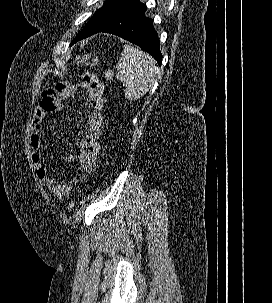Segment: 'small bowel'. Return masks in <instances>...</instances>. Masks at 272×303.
Masks as SVG:
<instances>
[{"label": "small bowel", "mask_w": 272, "mask_h": 303, "mask_svg": "<svg viewBox=\"0 0 272 303\" xmlns=\"http://www.w3.org/2000/svg\"><path fill=\"white\" fill-rule=\"evenodd\" d=\"M80 92L86 94L91 110L86 114L84 135L75 142L76 153L63 157L65 161L77 160L78 168L70 180L62 183L52 178L43 164L42 122L48 114L62 109L63 100H71ZM104 109L105 87L93 74H85L80 84L61 81L43 91L32 117L29 136L30 152L36 176L41 184L57 198L68 196L75 185L86 180L96 169Z\"/></svg>", "instance_id": "c3829d8e"}]
</instances>
